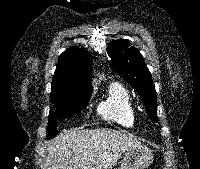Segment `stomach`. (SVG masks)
I'll return each instance as SVG.
<instances>
[{"label":"stomach","instance_id":"1","mask_svg":"<svg viewBox=\"0 0 200 169\" xmlns=\"http://www.w3.org/2000/svg\"><path fill=\"white\" fill-rule=\"evenodd\" d=\"M152 162V151L141 145L129 148L117 169H146Z\"/></svg>","mask_w":200,"mask_h":169}]
</instances>
